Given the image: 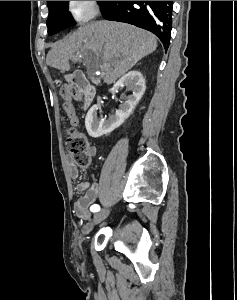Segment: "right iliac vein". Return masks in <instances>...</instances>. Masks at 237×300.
Returning <instances> with one entry per match:
<instances>
[{
	"label": "right iliac vein",
	"instance_id": "1",
	"mask_svg": "<svg viewBox=\"0 0 237 300\" xmlns=\"http://www.w3.org/2000/svg\"><path fill=\"white\" fill-rule=\"evenodd\" d=\"M109 213H110V210L106 209V210H103V211H100V212L94 214V221L96 223L103 221L104 219H106L108 217Z\"/></svg>",
	"mask_w": 237,
	"mask_h": 300
}]
</instances>
